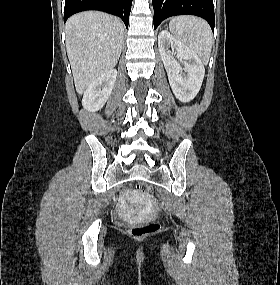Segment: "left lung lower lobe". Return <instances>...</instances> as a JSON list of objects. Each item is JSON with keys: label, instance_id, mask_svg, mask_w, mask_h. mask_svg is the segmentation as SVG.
<instances>
[{"label": "left lung lower lobe", "instance_id": "obj_1", "mask_svg": "<svg viewBox=\"0 0 280 285\" xmlns=\"http://www.w3.org/2000/svg\"><path fill=\"white\" fill-rule=\"evenodd\" d=\"M154 29L166 18L191 14L204 18L214 32L215 17L213 0H152Z\"/></svg>", "mask_w": 280, "mask_h": 285}]
</instances>
